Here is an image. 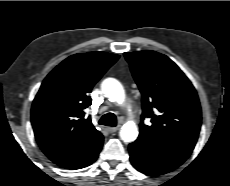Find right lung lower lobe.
I'll list each match as a JSON object with an SVG mask.
<instances>
[{
    "mask_svg": "<svg viewBox=\"0 0 230 186\" xmlns=\"http://www.w3.org/2000/svg\"><path fill=\"white\" fill-rule=\"evenodd\" d=\"M101 148H102V144L99 145L86 159H84L81 163H79L78 165H76L71 169H80L93 163L97 159Z\"/></svg>",
    "mask_w": 230,
    "mask_h": 186,
    "instance_id": "1",
    "label": "right lung lower lobe"
}]
</instances>
